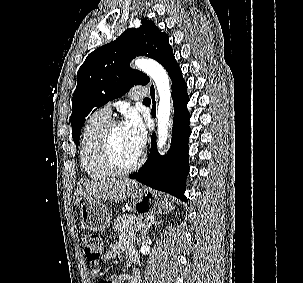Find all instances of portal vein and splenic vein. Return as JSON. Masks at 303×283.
<instances>
[{"instance_id": "obj_1", "label": "portal vein and splenic vein", "mask_w": 303, "mask_h": 283, "mask_svg": "<svg viewBox=\"0 0 303 283\" xmlns=\"http://www.w3.org/2000/svg\"><path fill=\"white\" fill-rule=\"evenodd\" d=\"M145 226V224L144 223H142L141 225H140V227H144Z\"/></svg>"}]
</instances>
